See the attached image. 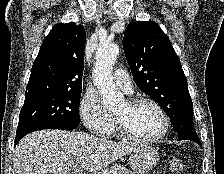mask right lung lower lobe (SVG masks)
Returning <instances> with one entry per match:
<instances>
[{"label":"right lung lower lobe","mask_w":224,"mask_h":174,"mask_svg":"<svg viewBox=\"0 0 224 174\" xmlns=\"http://www.w3.org/2000/svg\"><path fill=\"white\" fill-rule=\"evenodd\" d=\"M79 126V124H70V125H65V126H60V127H54V128H42L38 126H29V127H23L17 129L16 133V138H15V145L19 142L20 139H22L26 134L37 131V130H42V129H62V130H72L75 129Z\"/></svg>","instance_id":"obj_1"}]
</instances>
